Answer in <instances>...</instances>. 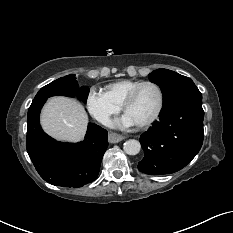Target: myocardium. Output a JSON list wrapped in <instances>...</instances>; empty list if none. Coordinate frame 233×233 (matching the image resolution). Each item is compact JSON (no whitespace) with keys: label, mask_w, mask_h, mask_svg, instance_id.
Returning <instances> with one entry per match:
<instances>
[{"label":"myocardium","mask_w":233,"mask_h":233,"mask_svg":"<svg viewBox=\"0 0 233 233\" xmlns=\"http://www.w3.org/2000/svg\"><path fill=\"white\" fill-rule=\"evenodd\" d=\"M146 85L154 86L157 89L159 100H158L157 108L154 111V113L147 120L141 123H137V125L142 128L150 126L159 117L162 111L163 104H164V94H163L161 87L153 81H143L139 85H137L134 89L131 90V92L127 95V97L122 103V109L124 112H126L128 106L136 99L141 88H143Z\"/></svg>","instance_id":"obj_1"}]
</instances>
